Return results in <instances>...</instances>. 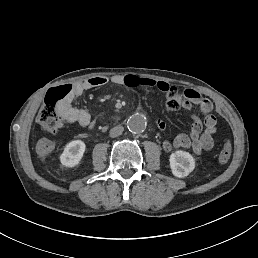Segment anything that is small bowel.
I'll use <instances>...</instances> for the list:
<instances>
[{"mask_svg": "<svg viewBox=\"0 0 258 258\" xmlns=\"http://www.w3.org/2000/svg\"><path fill=\"white\" fill-rule=\"evenodd\" d=\"M112 83L115 85L127 86L130 88L146 87L157 88L161 92L166 93L171 87L167 82L158 81L152 78L139 77L137 75H113L111 77L97 76L84 79L74 84V95L61 107V114L67 123H77L82 127L93 129L95 120L91 115L72 105V99L81 95L84 91L106 86ZM182 107L187 111H192L197 107L204 121L196 113L191 114V128L188 134L182 133L177 135L173 141L165 139L162 147L165 152H171L173 148L191 149L195 154L199 155L203 151H209L214 146L213 134L217 129V121L212 114V103L204 98L198 91L194 89H186L183 92ZM159 128L165 127L162 121H158ZM54 150V143L47 139L41 138L36 145V153L42 160H45Z\"/></svg>", "mask_w": 258, "mask_h": 258, "instance_id": "obj_1", "label": "small bowel"}]
</instances>
